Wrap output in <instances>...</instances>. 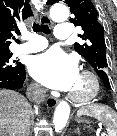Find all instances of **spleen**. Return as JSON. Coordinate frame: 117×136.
Here are the masks:
<instances>
[{
  "label": "spleen",
  "instance_id": "1",
  "mask_svg": "<svg viewBox=\"0 0 117 136\" xmlns=\"http://www.w3.org/2000/svg\"><path fill=\"white\" fill-rule=\"evenodd\" d=\"M77 115L94 117L105 125L108 136H117V113L109 107L91 104L80 108Z\"/></svg>",
  "mask_w": 117,
  "mask_h": 136
}]
</instances>
